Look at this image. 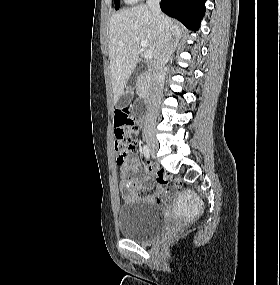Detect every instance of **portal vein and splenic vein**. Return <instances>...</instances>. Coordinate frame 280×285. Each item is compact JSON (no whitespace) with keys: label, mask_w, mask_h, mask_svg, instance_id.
I'll list each match as a JSON object with an SVG mask.
<instances>
[{"label":"portal vein and splenic vein","mask_w":280,"mask_h":285,"mask_svg":"<svg viewBox=\"0 0 280 285\" xmlns=\"http://www.w3.org/2000/svg\"><path fill=\"white\" fill-rule=\"evenodd\" d=\"M140 45H141V47H142L143 49H146L147 46H148V43H147L146 40H141V41H140ZM144 57H145V59H147V60L152 59V58H153V52L150 51V50H145V51H144Z\"/></svg>","instance_id":"18ae733b"}]
</instances>
